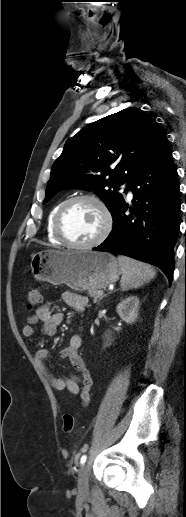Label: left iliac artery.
Here are the masks:
<instances>
[{"mask_svg": "<svg viewBox=\"0 0 186 517\" xmlns=\"http://www.w3.org/2000/svg\"><path fill=\"white\" fill-rule=\"evenodd\" d=\"M86 460H87V456H86V455H83V456L81 457V459H80V463H81V465H83V464L86 462Z\"/></svg>", "mask_w": 186, "mask_h": 517, "instance_id": "44dca946", "label": "left iliac artery"}]
</instances>
